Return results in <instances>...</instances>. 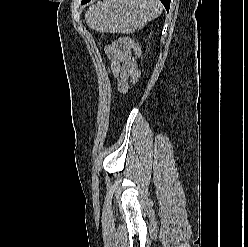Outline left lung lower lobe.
<instances>
[{
  "label": "left lung lower lobe",
  "mask_w": 248,
  "mask_h": 247,
  "mask_svg": "<svg viewBox=\"0 0 248 247\" xmlns=\"http://www.w3.org/2000/svg\"><path fill=\"white\" fill-rule=\"evenodd\" d=\"M90 0H82V4H85V3H87V2H89ZM162 3H163V5L165 6V8L167 9V10H169V7H170V1L171 0H160Z\"/></svg>",
  "instance_id": "0a47b994"
}]
</instances>
